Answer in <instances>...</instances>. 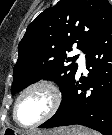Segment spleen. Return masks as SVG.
I'll return each instance as SVG.
<instances>
[{
    "instance_id": "obj_1",
    "label": "spleen",
    "mask_w": 112,
    "mask_h": 135,
    "mask_svg": "<svg viewBox=\"0 0 112 135\" xmlns=\"http://www.w3.org/2000/svg\"><path fill=\"white\" fill-rule=\"evenodd\" d=\"M82 135H100L99 133H97V132H88V131H83L82 132Z\"/></svg>"
}]
</instances>
